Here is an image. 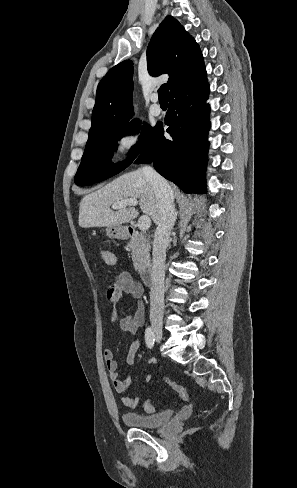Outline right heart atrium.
Here are the masks:
<instances>
[{"label":"right heart atrium","instance_id":"d8ad5b80","mask_svg":"<svg viewBox=\"0 0 297 488\" xmlns=\"http://www.w3.org/2000/svg\"><path fill=\"white\" fill-rule=\"evenodd\" d=\"M143 141V127L135 121H129L117 134L115 152L121 157H128L141 147Z\"/></svg>","mask_w":297,"mask_h":488}]
</instances>
